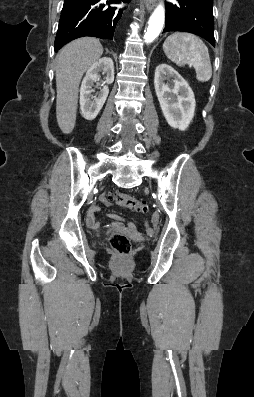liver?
Instances as JSON below:
<instances>
[{
  "instance_id": "liver-1",
  "label": "liver",
  "mask_w": 254,
  "mask_h": 397,
  "mask_svg": "<svg viewBox=\"0 0 254 397\" xmlns=\"http://www.w3.org/2000/svg\"><path fill=\"white\" fill-rule=\"evenodd\" d=\"M102 54L98 39L83 37L64 46L56 57V118L64 134L71 133L76 123L82 76Z\"/></svg>"
}]
</instances>
